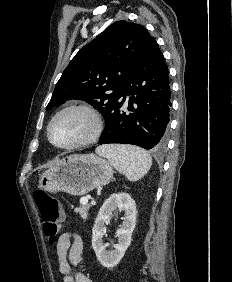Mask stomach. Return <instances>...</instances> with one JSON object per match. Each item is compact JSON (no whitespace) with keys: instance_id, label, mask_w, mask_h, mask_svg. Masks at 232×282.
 I'll list each match as a JSON object with an SVG mask.
<instances>
[{"instance_id":"stomach-1","label":"stomach","mask_w":232,"mask_h":282,"mask_svg":"<svg viewBox=\"0 0 232 282\" xmlns=\"http://www.w3.org/2000/svg\"><path fill=\"white\" fill-rule=\"evenodd\" d=\"M113 177L111 164L95 154L66 156L52 165L39 178L38 187L44 191L66 192L82 196L108 184Z\"/></svg>"}]
</instances>
